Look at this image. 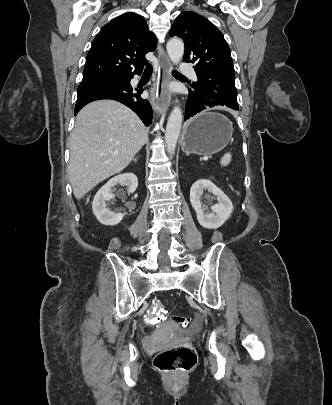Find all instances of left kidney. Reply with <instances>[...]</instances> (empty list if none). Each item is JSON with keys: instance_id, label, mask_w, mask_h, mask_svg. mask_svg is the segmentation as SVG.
<instances>
[{"instance_id": "left-kidney-1", "label": "left kidney", "mask_w": 332, "mask_h": 405, "mask_svg": "<svg viewBox=\"0 0 332 405\" xmlns=\"http://www.w3.org/2000/svg\"><path fill=\"white\" fill-rule=\"evenodd\" d=\"M204 190L217 196L218 203L211 206V212H205L202 206L201 196ZM190 202L194 208L199 224L208 229L221 227L231 216L233 204L231 200L210 180H197L190 189Z\"/></svg>"}]
</instances>
